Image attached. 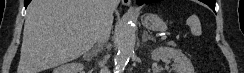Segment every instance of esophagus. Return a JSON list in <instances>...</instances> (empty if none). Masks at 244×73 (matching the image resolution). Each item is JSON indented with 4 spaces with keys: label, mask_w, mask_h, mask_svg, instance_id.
Segmentation results:
<instances>
[{
    "label": "esophagus",
    "mask_w": 244,
    "mask_h": 73,
    "mask_svg": "<svg viewBox=\"0 0 244 73\" xmlns=\"http://www.w3.org/2000/svg\"><path fill=\"white\" fill-rule=\"evenodd\" d=\"M122 4L124 6H130L131 5V0H122Z\"/></svg>",
    "instance_id": "34e87169"
}]
</instances>
